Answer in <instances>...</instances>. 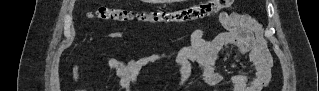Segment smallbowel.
Instances as JSON below:
<instances>
[{
  "mask_svg": "<svg viewBox=\"0 0 319 91\" xmlns=\"http://www.w3.org/2000/svg\"><path fill=\"white\" fill-rule=\"evenodd\" d=\"M220 22L225 32L212 40L204 37L203 30L198 28L191 33L190 44L169 53H154L140 59H129L123 62L117 58H108L106 65L113 70L119 85L124 91H131L140 70L157 61L167 60L178 64L182 72V80L189 74V63L195 62L200 67L202 81L212 87H227L229 91H260L269 82V69L262 64L267 55L266 45L259 34L258 24L254 19L240 13H222ZM113 40L123 38V33H112ZM227 54L232 64L236 65L237 58L248 54L253 73L251 76L235 75L226 78L217 70L218 58ZM74 79L79 78L77 69Z\"/></svg>",
  "mask_w": 319,
  "mask_h": 91,
  "instance_id": "obj_1",
  "label": "small bowel"
}]
</instances>
